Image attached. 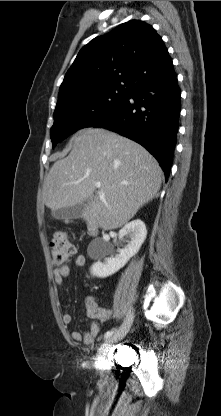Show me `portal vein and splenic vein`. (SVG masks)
Segmentation results:
<instances>
[{
    "label": "portal vein and splenic vein",
    "mask_w": 221,
    "mask_h": 416,
    "mask_svg": "<svg viewBox=\"0 0 221 416\" xmlns=\"http://www.w3.org/2000/svg\"><path fill=\"white\" fill-rule=\"evenodd\" d=\"M95 185H96L97 188H100L101 187V183L100 182H97Z\"/></svg>",
    "instance_id": "18ae733b"
}]
</instances>
